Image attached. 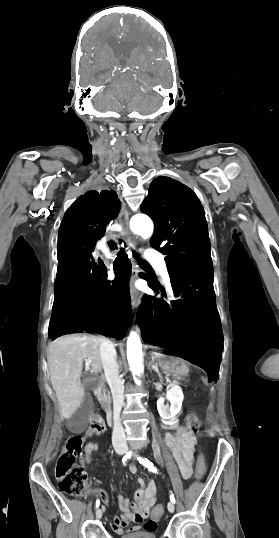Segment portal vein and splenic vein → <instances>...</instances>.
<instances>
[{"label":"portal vein and splenic vein","instance_id":"portal-vein-and-splenic-vein-1","mask_svg":"<svg viewBox=\"0 0 279 538\" xmlns=\"http://www.w3.org/2000/svg\"><path fill=\"white\" fill-rule=\"evenodd\" d=\"M91 364V360H86V366ZM163 380H166V383H170V377H163Z\"/></svg>","mask_w":279,"mask_h":538}]
</instances>
